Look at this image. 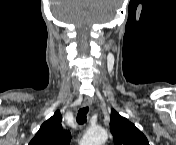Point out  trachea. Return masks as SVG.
Wrapping results in <instances>:
<instances>
[{
  "mask_svg": "<svg viewBox=\"0 0 176 145\" xmlns=\"http://www.w3.org/2000/svg\"><path fill=\"white\" fill-rule=\"evenodd\" d=\"M87 113H88V107H83L78 111L77 114V122L80 125H83L86 122V118H87Z\"/></svg>",
  "mask_w": 176,
  "mask_h": 145,
  "instance_id": "trachea-1",
  "label": "trachea"
}]
</instances>
